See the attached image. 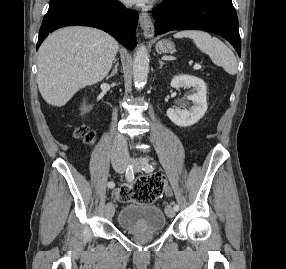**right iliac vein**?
Instances as JSON below:
<instances>
[{
    "mask_svg": "<svg viewBox=\"0 0 286 269\" xmlns=\"http://www.w3.org/2000/svg\"><path fill=\"white\" fill-rule=\"evenodd\" d=\"M125 170V167L118 168V172L123 173ZM115 213V207L112 203H107L105 206V214L108 218H112Z\"/></svg>",
    "mask_w": 286,
    "mask_h": 269,
    "instance_id": "obj_1",
    "label": "right iliac vein"
}]
</instances>
